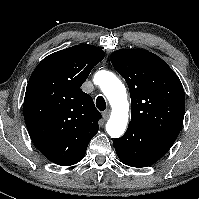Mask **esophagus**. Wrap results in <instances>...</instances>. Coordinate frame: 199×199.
<instances>
[{"instance_id": "obj_1", "label": "esophagus", "mask_w": 199, "mask_h": 199, "mask_svg": "<svg viewBox=\"0 0 199 199\" xmlns=\"http://www.w3.org/2000/svg\"><path fill=\"white\" fill-rule=\"evenodd\" d=\"M104 120H107L110 115V110H106L102 113Z\"/></svg>"}]
</instances>
